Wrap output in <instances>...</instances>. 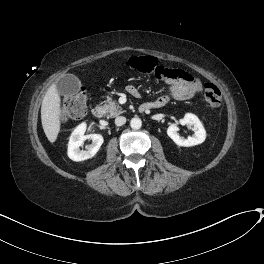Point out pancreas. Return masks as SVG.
Listing matches in <instances>:
<instances>
[{
  "mask_svg": "<svg viewBox=\"0 0 264 264\" xmlns=\"http://www.w3.org/2000/svg\"><path fill=\"white\" fill-rule=\"evenodd\" d=\"M104 109L106 112L105 115L108 118L118 116L124 112L122 110V107L116 101H113L112 99H108L106 101V104L104 105Z\"/></svg>",
  "mask_w": 264,
  "mask_h": 264,
  "instance_id": "1",
  "label": "pancreas"
}]
</instances>
